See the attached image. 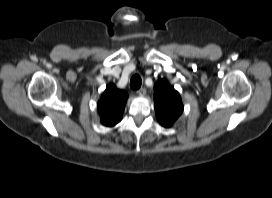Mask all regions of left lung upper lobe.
<instances>
[{
	"mask_svg": "<svg viewBox=\"0 0 272 198\" xmlns=\"http://www.w3.org/2000/svg\"><path fill=\"white\" fill-rule=\"evenodd\" d=\"M154 89L157 119L162 126L170 127L183 112L180 95L165 79L158 80Z\"/></svg>",
	"mask_w": 272,
	"mask_h": 198,
	"instance_id": "1",
	"label": "left lung upper lobe"
}]
</instances>
